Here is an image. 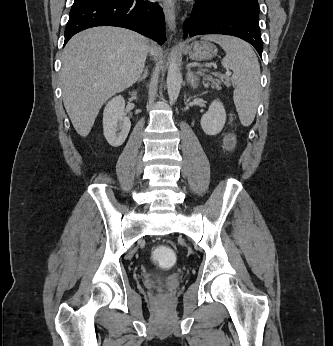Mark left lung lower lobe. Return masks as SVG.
Listing matches in <instances>:
<instances>
[{"label": "left lung lower lobe", "instance_id": "left-lung-lower-lobe-1", "mask_svg": "<svg viewBox=\"0 0 333 346\" xmlns=\"http://www.w3.org/2000/svg\"><path fill=\"white\" fill-rule=\"evenodd\" d=\"M195 8L185 21L184 36L223 34L239 37L257 50L262 57L263 44L259 21L211 0H195Z\"/></svg>", "mask_w": 333, "mask_h": 346}]
</instances>
